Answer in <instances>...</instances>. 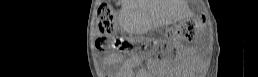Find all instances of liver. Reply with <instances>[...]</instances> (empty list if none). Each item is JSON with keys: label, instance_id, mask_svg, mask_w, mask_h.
<instances>
[{"label": "liver", "instance_id": "liver-1", "mask_svg": "<svg viewBox=\"0 0 258 77\" xmlns=\"http://www.w3.org/2000/svg\"><path fill=\"white\" fill-rule=\"evenodd\" d=\"M140 1L138 0H125L123 1V14H124V21H128V19L135 20L136 18L140 17L144 12L140 7ZM178 19V18H175Z\"/></svg>", "mask_w": 258, "mask_h": 77}]
</instances>
